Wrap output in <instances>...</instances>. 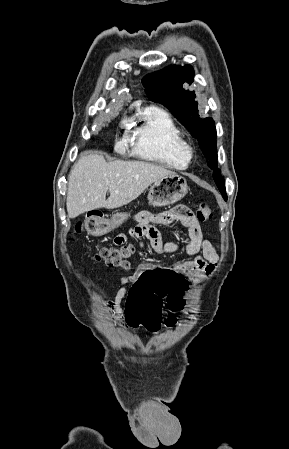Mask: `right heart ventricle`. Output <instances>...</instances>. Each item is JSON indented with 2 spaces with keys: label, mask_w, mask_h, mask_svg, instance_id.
Instances as JSON below:
<instances>
[{
  "label": "right heart ventricle",
  "mask_w": 289,
  "mask_h": 449,
  "mask_svg": "<svg viewBox=\"0 0 289 449\" xmlns=\"http://www.w3.org/2000/svg\"><path fill=\"white\" fill-rule=\"evenodd\" d=\"M133 153L143 159L173 169H186L189 160L180 151L183 140L172 117L163 109L150 106L144 109L134 123Z\"/></svg>",
  "instance_id": "e07e8e85"
}]
</instances>
